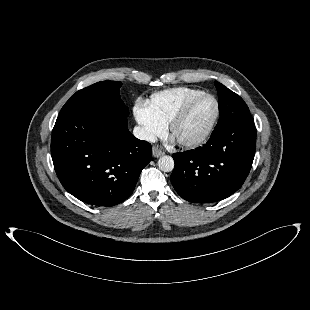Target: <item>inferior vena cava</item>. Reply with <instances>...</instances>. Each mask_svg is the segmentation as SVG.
<instances>
[{
  "label": "inferior vena cava",
  "instance_id": "1",
  "mask_svg": "<svg viewBox=\"0 0 310 310\" xmlns=\"http://www.w3.org/2000/svg\"><path fill=\"white\" fill-rule=\"evenodd\" d=\"M133 135L140 140H146L149 142H155L157 140L156 136L152 132L140 126L134 127Z\"/></svg>",
  "mask_w": 310,
  "mask_h": 310
}]
</instances>
